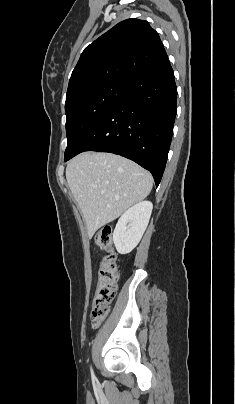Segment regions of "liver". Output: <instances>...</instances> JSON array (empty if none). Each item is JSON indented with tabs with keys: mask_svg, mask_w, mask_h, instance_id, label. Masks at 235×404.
I'll list each match as a JSON object with an SVG mask.
<instances>
[{
	"mask_svg": "<svg viewBox=\"0 0 235 404\" xmlns=\"http://www.w3.org/2000/svg\"><path fill=\"white\" fill-rule=\"evenodd\" d=\"M66 179L90 238L144 200L153 186L147 170L111 153L85 152L76 156L66 167Z\"/></svg>",
	"mask_w": 235,
	"mask_h": 404,
	"instance_id": "obj_1",
	"label": "liver"
}]
</instances>
